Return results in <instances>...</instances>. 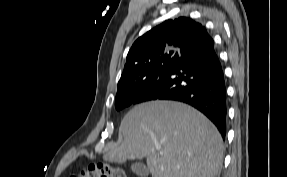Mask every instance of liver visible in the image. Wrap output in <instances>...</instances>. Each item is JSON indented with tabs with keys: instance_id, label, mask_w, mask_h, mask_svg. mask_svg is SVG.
<instances>
[{
	"instance_id": "obj_1",
	"label": "liver",
	"mask_w": 287,
	"mask_h": 177,
	"mask_svg": "<svg viewBox=\"0 0 287 177\" xmlns=\"http://www.w3.org/2000/svg\"><path fill=\"white\" fill-rule=\"evenodd\" d=\"M120 144L105 161L146 158L152 177H216L223 161V140L199 111L174 101H150L131 109L121 121ZM159 149V151H158Z\"/></svg>"
}]
</instances>
